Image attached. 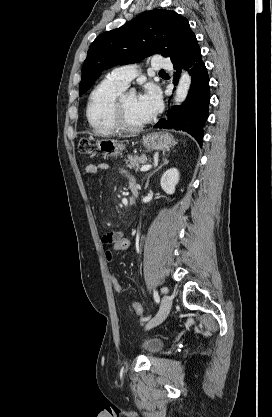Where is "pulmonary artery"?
Returning a JSON list of instances; mask_svg holds the SVG:
<instances>
[{"label":"pulmonary artery","mask_w":272,"mask_h":417,"mask_svg":"<svg viewBox=\"0 0 272 417\" xmlns=\"http://www.w3.org/2000/svg\"><path fill=\"white\" fill-rule=\"evenodd\" d=\"M153 69H170L172 67L171 62L161 56H156L154 58ZM138 75V70L135 65H124L113 69L108 77L118 82L119 84L127 87L129 83Z\"/></svg>","instance_id":"e3ab8cb5"}]
</instances>
